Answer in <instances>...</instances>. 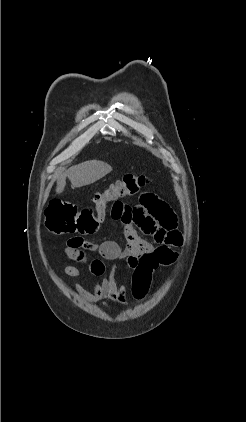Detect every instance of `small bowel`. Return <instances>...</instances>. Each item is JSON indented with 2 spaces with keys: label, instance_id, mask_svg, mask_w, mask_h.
Masks as SVG:
<instances>
[{
  "label": "small bowel",
  "instance_id": "obj_1",
  "mask_svg": "<svg viewBox=\"0 0 246 422\" xmlns=\"http://www.w3.org/2000/svg\"><path fill=\"white\" fill-rule=\"evenodd\" d=\"M110 216L124 225V235L127 245L122 249L115 241H104L96 244L82 237L70 238L64 249V254L73 261L87 262L92 275L100 278L90 280L77 266L67 265L63 268L64 275L87 280L92 285V291L85 290L76 284L75 288L90 302L109 300L122 305L127 304V292L124 285L118 284L113 275L106 274V267L101 259L87 260L86 253L96 252L104 260H123L132 270L134 262L144 253L153 252L159 248L171 249L182 244V234L177 228V217L170 206L156 194L146 193L141 197L137 206H114ZM134 225H137L145 234L151 235L156 244L140 237Z\"/></svg>",
  "mask_w": 246,
  "mask_h": 422
}]
</instances>
